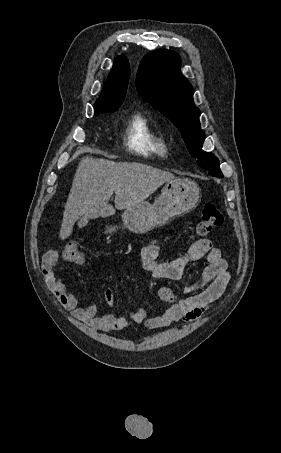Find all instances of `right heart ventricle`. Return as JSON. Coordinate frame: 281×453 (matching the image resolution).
<instances>
[{
  "label": "right heart ventricle",
  "mask_w": 281,
  "mask_h": 453,
  "mask_svg": "<svg viewBox=\"0 0 281 453\" xmlns=\"http://www.w3.org/2000/svg\"><path fill=\"white\" fill-rule=\"evenodd\" d=\"M125 140L129 149L143 156L161 155L167 147L163 135L140 112L130 115L125 129Z\"/></svg>",
  "instance_id": "e07e8e85"
}]
</instances>
